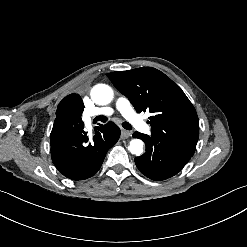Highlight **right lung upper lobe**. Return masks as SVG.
<instances>
[{"instance_id": "1", "label": "right lung upper lobe", "mask_w": 247, "mask_h": 247, "mask_svg": "<svg viewBox=\"0 0 247 247\" xmlns=\"http://www.w3.org/2000/svg\"><path fill=\"white\" fill-rule=\"evenodd\" d=\"M84 104L78 94L65 97L58 105L53 129L81 123Z\"/></svg>"}]
</instances>
